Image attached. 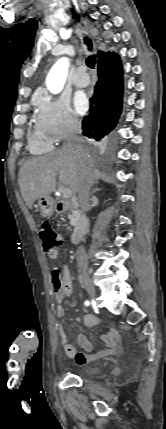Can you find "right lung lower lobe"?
<instances>
[{
    "mask_svg": "<svg viewBox=\"0 0 166 429\" xmlns=\"http://www.w3.org/2000/svg\"><path fill=\"white\" fill-rule=\"evenodd\" d=\"M98 81L91 97V109L82 122V133L89 139L100 141L112 132L122 110L123 82L119 56L98 58Z\"/></svg>",
    "mask_w": 166,
    "mask_h": 429,
    "instance_id": "right-lung-lower-lobe-1",
    "label": "right lung lower lobe"
}]
</instances>
